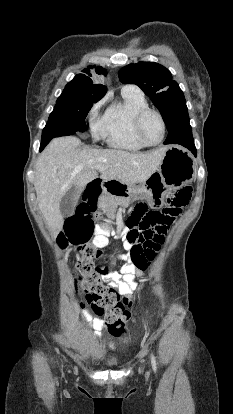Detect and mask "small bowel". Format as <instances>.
<instances>
[{
  "label": "small bowel",
  "mask_w": 233,
  "mask_h": 414,
  "mask_svg": "<svg viewBox=\"0 0 233 414\" xmlns=\"http://www.w3.org/2000/svg\"><path fill=\"white\" fill-rule=\"evenodd\" d=\"M181 210H182V207L176 209V211L172 214L173 219L174 217L180 214ZM95 235L96 237L93 240V244L98 248H104L109 243L108 235H113V232H101L100 233L99 231H96ZM114 235L125 236L126 232L116 231L114 232ZM162 237H161V241H162ZM125 248L127 249V253L121 254L119 256V258L123 260L124 262H121L120 264L117 263L116 264L117 266H110L107 269L105 267L102 268L103 264L100 263L99 264L100 266H97V274H100V278L104 281V286H106L107 288L112 287L111 288L112 294H116V295L121 294L122 296L130 297L135 290H139L143 287V285H138L134 281V275L135 274L142 275L145 272V270L140 269L136 265L133 264L130 258L129 252H128V246L126 244H125ZM102 255L104 256L105 254L103 253ZM104 265L108 266L109 264L105 263ZM69 276L72 279L73 278L76 279V281H73L72 283L73 285L71 287L73 289H78L79 287L78 284L83 283L84 273L79 272L78 270H72V271H69ZM85 297L91 298L92 292L86 291ZM76 301H77L78 306L81 308L82 317L84 318L85 321L89 323V326L92 328L93 337L100 338L102 329L104 328V322L102 321L103 315L98 314V312L100 313L103 312L105 309L104 306L101 304L94 305L92 299H87L85 301H86V305L89 306V310H88L87 308H85L84 302L80 300H76ZM91 312H93V315H96V318L92 316Z\"/></svg>",
  "instance_id": "1"
}]
</instances>
